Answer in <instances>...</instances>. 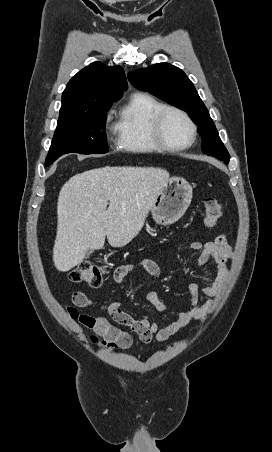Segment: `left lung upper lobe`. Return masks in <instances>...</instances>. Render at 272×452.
I'll use <instances>...</instances> for the list:
<instances>
[{"label": "left lung upper lobe", "mask_w": 272, "mask_h": 452, "mask_svg": "<svg viewBox=\"0 0 272 452\" xmlns=\"http://www.w3.org/2000/svg\"><path fill=\"white\" fill-rule=\"evenodd\" d=\"M128 80L139 90L185 110L198 126L203 153L228 164L230 155L222 143L207 108L193 83L179 68L169 63L154 64L128 73Z\"/></svg>", "instance_id": "left-lung-upper-lobe-1"}]
</instances>
